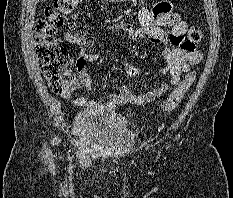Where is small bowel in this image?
I'll return each instance as SVG.
<instances>
[{"instance_id": "obj_1", "label": "small bowel", "mask_w": 233, "mask_h": 198, "mask_svg": "<svg viewBox=\"0 0 233 198\" xmlns=\"http://www.w3.org/2000/svg\"><path fill=\"white\" fill-rule=\"evenodd\" d=\"M139 24L134 25L125 21H118L113 24V29L123 31L126 36L134 41H147L154 44H163L164 49L162 55L165 64L158 69L161 74L170 75V85H176L180 81L182 67L188 62L201 59L200 54L193 48L188 49L184 43L188 33V25L182 20L181 16L173 11L171 3L162 1L157 3L152 10H149L144 5V0H141V7L138 12ZM169 27V30L165 28ZM94 39L88 37L85 48L90 49L93 46ZM99 60V55L89 53L82 50L81 57L77 64L78 78L75 82V87H86L90 92H93L91 74L87 68V63H94ZM122 67L129 77L141 76V71L128 63L122 62ZM117 83L116 79L112 80ZM169 89V84L161 82L152 89L134 94L126 84L120 86L119 94H110L107 96V101L104 103L86 99L84 97L73 98L70 92L62 93V96L67 99L73 106L82 110H97L112 112L120 105H145L151 103L164 95Z\"/></svg>"}]
</instances>
